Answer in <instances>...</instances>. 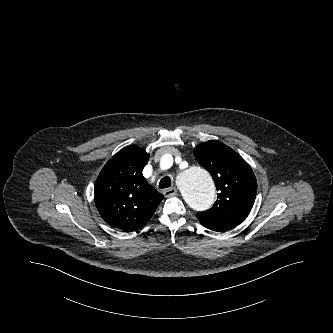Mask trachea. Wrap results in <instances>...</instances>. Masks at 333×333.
I'll return each instance as SVG.
<instances>
[{
  "instance_id": "obj_1",
  "label": "trachea",
  "mask_w": 333,
  "mask_h": 333,
  "mask_svg": "<svg viewBox=\"0 0 333 333\" xmlns=\"http://www.w3.org/2000/svg\"><path fill=\"white\" fill-rule=\"evenodd\" d=\"M170 186H171V179L168 176L163 177L159 182L160 189L168 188Z\"/></svg>"
}]
</instances>
